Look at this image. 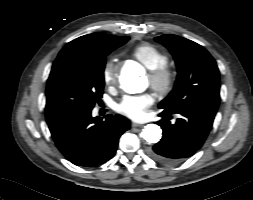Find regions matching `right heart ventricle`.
Returning <instances> with one entry per match:
<instances>
[{"mask_svg": "<svg viewBox=\"0 0 253 200\" xmlns=\"http://www.w3.org/2000/svg\"><path fill=\"white\" fill-rule=\"evenodd\" d=\"M132 55L149 70L168 64V55L150 43L139 44L133 48Z\"/></svg>", "mask_w": 253, "mask_h": 200, "instance_id": "1", "label": "right heart ventricle"}]
</instances>
